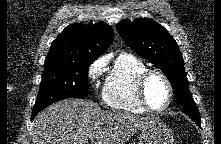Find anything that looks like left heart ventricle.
<instances>
[{"instance_id":"b2bd125f","label":"left heart ventricle","mask_w":221,"mask_h":144,"mask_svg":"<svg viewBox=\"0 0 221 144\" xmlns=\"http://www.w3.org/2000/svg\"><path fill=\"white\" fill-rule=\"evenodd\" d=\"M146 98L153 108L163 107L168 100V89L163 79L157 75L151 76L146 84Z\"/></svg>"}]
</instances>
